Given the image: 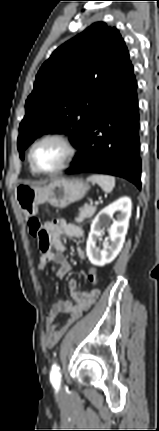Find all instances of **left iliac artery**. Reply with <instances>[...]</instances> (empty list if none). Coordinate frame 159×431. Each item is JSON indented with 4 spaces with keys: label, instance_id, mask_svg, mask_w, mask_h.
Segmentation results:
<instances>
[{
    "label": "left iliac artery",
    "instance_id": "44dca946",
    "mask_svg": "<svg viewBox=\"0 0 159 431\" xmlns=\"http://www.w3.org/2000/svg\"><path fill=\"white\" fill-rule=\"evenodd\" d=\"M60 380V368L57 364H53L50 372V381L55 388H58L60 385Z\"/></svg>",
    "mask_w": 159,
    "mask_h": 431
}]
</instances>
